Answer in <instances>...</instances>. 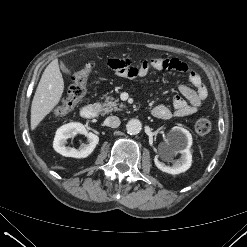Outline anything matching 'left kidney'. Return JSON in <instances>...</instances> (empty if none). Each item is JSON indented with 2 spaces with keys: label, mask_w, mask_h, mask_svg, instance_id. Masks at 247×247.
Instances as JSON below:
<instances>
[{
  "label": "left kidney",
  "mask_w": 247,
  "mask_h": 247,
  "mask_svg": "<svg viewBox=\"0 0 247 247\" xmlns=\"http://www.w3.org/2000/svg\"><path fill=\"white\" fill-rule=\"evenodd\" d=\"M175 131L176 138L182 141V145H173L169 143L167 146V151L170 155L180 153L181 158L176 160L172 167L166 166L165 163L160 162L157 156L154 158L155 165L158 169L172 175L187 171L191 167L192 162V155L190 151V147L192 145L191 133L188 130L180 127H178Z\"/></svg>",
  "instance_id": "obj_1"
}]
</instances>
